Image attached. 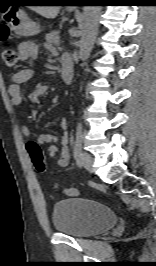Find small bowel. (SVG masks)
<instances>
[{
	"mask_svg": "<svg viewBox=\"0 0 156 266\" xmlns=\"http://www.w3.org/2000/svg\"><path fill=\"white\" fill-rule=\"evenodd\" d=\"M18 56L22 61H27L29 59H36L38 56V46L31 41L22 42L18 46ZM32 76H33V71L31 69H23L12 77L11 83L8 87V92L11 96V101L13 105L19 106L23 103L21 84L29 80ZM60 126L64 131L63 135L60 138L52 133H41L38 135L36 143L50 144L48 148L49 156L55 157L57 154H59L57 160L58 165L61 167H65L69 164L70 161V152L68 148L69 136L66 132L68 127L67 119L63 118L60 122ZM21 131L24 136L26 137L30 136L29 128L25 124L21 126ZM57 142H59L61 145L60 149L56 145ZM66 192L69 195H77V191L74 188L67 189Z\"/></svg>",
	"mask_w": 156,
	"mask_h": 266,
	"instance_id": "obj_1",
	"label": "small bowel"
}]
</instances>
